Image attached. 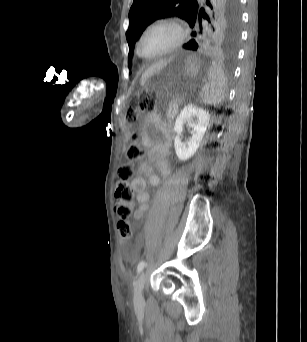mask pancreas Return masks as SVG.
Segmentation results:
<instances>
[{
	"mask_svg": "<svg viewBox=\"0 0 307 342\" xmlns=\"http://www.w3.org/2000/svg\"><path fill=\"white\" fill-rule=\"evenodd\" d=\"M172 104L170 106H167L166 108V116L167 117H174L175 116V109L180 103V98L179 97H174L172 100Z\"/></svg>",
	"mask_w": 307,
	"mask_h": 342,
	"instance_id": "pancreas-1",
	"label": "pancreas"
}]
</instances>
